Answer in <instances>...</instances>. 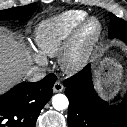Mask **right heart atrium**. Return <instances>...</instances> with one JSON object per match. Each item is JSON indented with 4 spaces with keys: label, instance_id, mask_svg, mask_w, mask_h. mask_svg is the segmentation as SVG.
Listing matches in <instances>:
<instances>
[{
    "label": "right heart atrium",
    "instance_id": "d8ad5b80",
    "mask_svg": "<svg viewBox=\"0 0 127 127\" xmlns=\"http://www.w3.org/2000/svg\"><path fill=\"white\" fill-rule=\"evenodd\" d=\"M31 54L35 62L38 64H45L46 63V58L40 54L37 50L31 49Z\"/></svg>",
    "mask_w": 127,
    "mask_h": 127
}]
</instances>
